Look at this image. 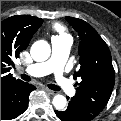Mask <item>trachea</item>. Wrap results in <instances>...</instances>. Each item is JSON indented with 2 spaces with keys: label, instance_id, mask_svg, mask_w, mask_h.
Instances as JSON below:
<instances>
[{
  "label": "trachea",
  "instance_id": "trachea-1",
  "mask_svg": "<svg viewBox=\"0 0 121 121\" xmlns=\"http://www.w3.org/2000/svg\"><path fill=\"white\" fill-rule=\"evenodd\" d=\"M21 78L25 81H31V77L26 75V74H21ZM48 87L52 90H55V91H60L61 88L57 85H54V84H49Z\"/></svg>",
  "mask_w": 121,
  "mask_h": 121
}]
</instances>
